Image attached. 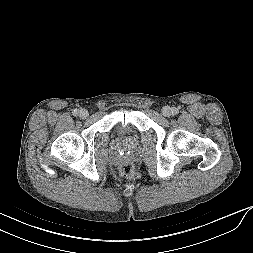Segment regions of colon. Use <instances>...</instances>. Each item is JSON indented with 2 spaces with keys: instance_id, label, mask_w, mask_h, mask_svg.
Masks as SVG:
<instances>
[{
  "instance_id": "1",
  "label": "colon",
  "mask_w": 253,
  "mask_h": 253,
  "mask_svg": "<svg viewBox=\"0 0 253 253\" xmlns=\"http://www.w3.org/2000/svg\"><path fill=\"white\" fill-rule=\"evenodd\" d=\"M135 170L132 164L130 163H124L120 167V174L127 179H130L134 176Z\"/></svg>"
}]
</instances>
